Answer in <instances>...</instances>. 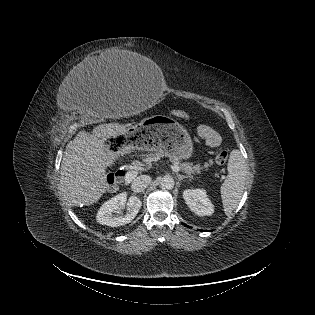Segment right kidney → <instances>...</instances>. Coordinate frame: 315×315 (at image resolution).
Listing matches in <instances>:
<instances>
[{
  "label": "right kidney",
  "instance_id": "right-kidney-1",
  "mask_svg": "<svg viewBox=\"0 0 315 315\" xmlns=\"http://www.w3.org/2000/svg\"><path fill=\"white\" fill-rule=\"evenodd\" d=\"M126 201V193H120L106 201L97 213V222L110 227H118L130 223L139 212L142 203L140 199L135 196L129 197L128 202ZM125 205L128 210L125 215H113V213L119 214Z\"/></svg>",
  "mask_w": 315,
  "mask_h": 315
}]
</instances>
